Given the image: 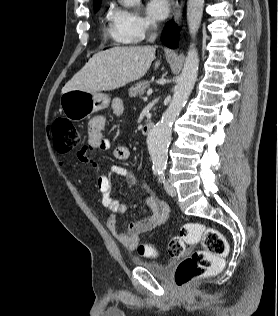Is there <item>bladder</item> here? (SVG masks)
I'll use <instances>...</instances> for the list:
<instances>
[{"label": "bladder", "mask_w": 278, "mask_h": 316, "mask_svg": "<svg viewBox=\"0 0 278 316\" xmlns=\"http://www.w3.org/2000/svg\"><path fill=\"white\" fill-rule=\"evenodd\" d=\"M134 264H136L139 267L144 268L153 276L158 277V278H167L170 275L173 268L172 264H161V263L146 261V260H141V259H134Z\"/></svg>", "instance_id": "bladder-1"}]
</instances>
